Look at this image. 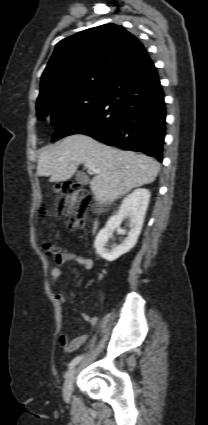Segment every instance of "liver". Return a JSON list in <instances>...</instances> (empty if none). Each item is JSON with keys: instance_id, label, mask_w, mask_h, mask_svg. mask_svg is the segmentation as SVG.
I'll use <instances>...</instances> for the list:
<instances>
[{"instance_id": "liver-1", "label": "liver", "mask_w": 208, "mask_h": 425, "mask_svg": "<svg viewBox=\"0 0 208 425\" xmlns=\"http://www.w3.org/2000/svg\"><path fill=\"white\" fill-rule=\"evenodd\" d=\"M86 162L101 171L90 182L95 199L101 204H111L133 188L154 182L160 170V164L149 156L122 151L89 136L74 134L42 151L37 175L50 177L51 182L65 181Z\"/></svg>"}]
</instances>
